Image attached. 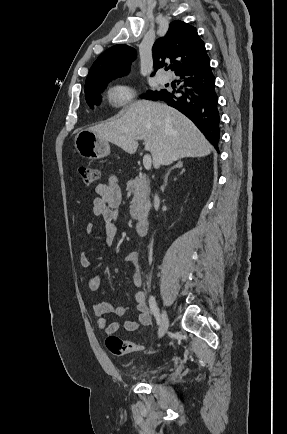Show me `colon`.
Segmentation results:
<instances>
[{
  "instance_id": "1",
  "label": "colon",
  "mask_w": 287,
  "mask_h": 434,
  "mask_svg": "<svg viewBox=\"0 0 287 434\" xmlns=\"http://www.w3.org/2000/svg\"><path fill=\"white\" fill-rule=\"evenodd\" d=\"M78 173L83 183L88 185L96 183L100 177V171L95 167L80 166ZM105 344L107 349L116 356H123L143 349L142 345L122 340L115 335L108 336L105 340Z\"/></svg>"
}]
</instances>
